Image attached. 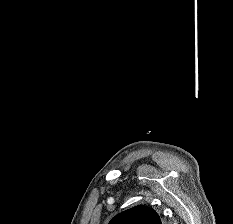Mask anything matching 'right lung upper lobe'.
<instances>
[{
    "label": "right lung upper lobe",
    "mask_w": 233,
    "mask_h": 224,
    "mask_svg": "<svg viewBox=\"0 0 233 224\" xmlns=\"http://www.w3.org/2000/svg\"><path fill=\"white\" fill-rule=\"evenodd\" d=\"M109 224H162L155 210L138 205L117 214Z\"/></svg>",
    "instance_id": "1"
}]
</instances>
